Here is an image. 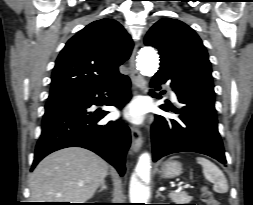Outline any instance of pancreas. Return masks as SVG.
Segmentation results:
<instances>
[{
	"label": "pancreas",
	"instance_id": "obj_1",
	"mask_svg": "<svg viewBox=\"0 0 253 205\" xmlns=\"http://www.w3.org/2000/svg\"><path fill=\"white\" fill-rule=\"evenodd\" d=\"M169 198L176 204H187L192 200V197L186 192L170 193Z\"/></svg>",
	"mask_w": 253,
	"mask_h": 205
}]
</instances>
